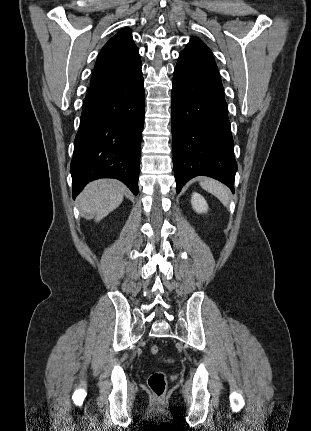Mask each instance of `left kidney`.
I'll use <instances>...</instances> for the list:
<instances>
[{"instance_id": "1", "label": "left kidney", "mask_w": 311, "mask_h": 431, "mask_svg": "<svg viewBox=\"0 0 311 431\" xmlns=\"http://www.w3.org/2000/svg\"><path fill=\"white\" fill-rule=\"evenodd\" d=\"M192 208L195 210V212H198V214H205L208 210V204L206 200H204L203 196H200V194H196L194 192L191 200Z\"/></svg>"}]
</instances>
